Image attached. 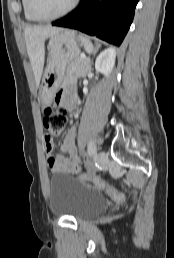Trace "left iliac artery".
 Instances as JSON below:
<instances>
[{
  "label": "left iliac artery",
  "mask_w": 174,
  "mask_h": 258,
  "mask_svg": "<svg viewBox=\"0 0 174 258\" xmlns=\"http://www.w3.org/2000/svg\"><path fill=\"white\" fill-rule=\"evenodd\" d=\"M87 151L89 156H93L96 153V146L93 141H89Z\"/></svg>",
  "instance_id": "left-iliac-artery-1"
}]
</instances>
